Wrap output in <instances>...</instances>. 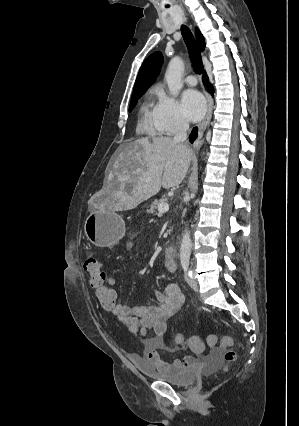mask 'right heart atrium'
Here are the masks:
<instances>
[{
	"label": "right heart atrium",
	"mask_w": 299,
	"mask_h": 426,
	"mask_svg": "<svg viewBox=\"0 0 299 426\" xmlns=\"http://www.w3.org/2000/svg\"><path fill=\"white\" fill-rule=\"evenodd\" d=\"M155 121L160 132L164 134H174L188 126L178 101L163 91L158 93Z\"/></svg>",
	"instance_id": "right-heart-atrium-1"
}]
</instances>
